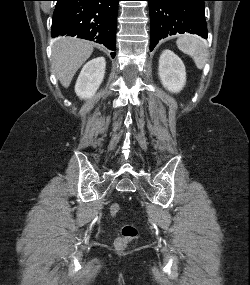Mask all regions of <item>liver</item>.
Here are the masks:
<instances>
[{
  "mask_svg": "<svg viewBox=\"0 0 250 285\" xmlns=\"http://www.w3.org/2000/svg\"><path fill=\"white\" fill-rule=\"evenodd\" d=\"M93 43L75 37H58L52 46V67L63 87L68 88L77 70L93 52Z\"/></svg>",
  "mask_w": 250,
  "mask_h": 285,
  "instance_id": "obj_1",
  "label": "liver"
}]
</instances>
